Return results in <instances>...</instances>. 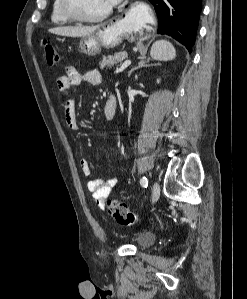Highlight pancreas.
I'll list each match as a JSON object with an SVG mask.
<instances>
[{
    "label": "pancreas",
    "instance_id": "obj_1",
    "mask_svg": "<svg viewBox=\"0 0 247 299\" xmlns=\"http://www.w3.org/2000/svg\"><path fill=\"white\" fill-rule=\"evenodd\" d=\"M128 57L126 52H118L108 57H104L102 61L99 62L100 68L104 69L105 67H112L115 64L122 62Z\"/></svg>",
    "mask_w": 247,
    "mask_h": 299
}]
</instances>
